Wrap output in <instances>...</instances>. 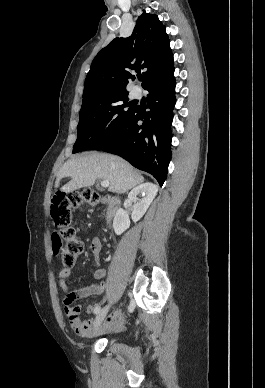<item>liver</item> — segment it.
<instances>
[{
	"instance_id": "obj_1",
	"label": "liver",
	"mask_w": 265,
	"mask_h": 388,
	"mask_svg": "<svg viewBox=\"0 0 265 388\" xmlns=\"http://www.w3.org/2000/svg\"><path fill=\"white\" fill-rule=\"evenodd\" d=\"M67 176L72 180L65 184L63 188L65 192L89 188L94 186L96 180H108V192L125 194L144 182L143 176L136 174L132 166L122 158L93 152L88 156H77L65 162L57 174L55 188H59L62 178Z\"/></svg>"
}]
</instances>
